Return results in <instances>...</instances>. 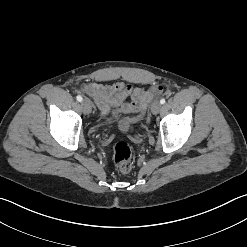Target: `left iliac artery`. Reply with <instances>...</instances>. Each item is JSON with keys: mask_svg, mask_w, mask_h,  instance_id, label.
I'll list each match as a JSON object with an SVG mask.
<instances>
[{"mask_svg": "<svg viewBox=\"0 0 247 247\" xmlns=\"http://www.w3.org/2000/svg\"><path fill=\"white\" fill-rule=\"evenodd\" d=\"M166 102V100L164 99V98H162L161 100H160V103L161 104H164Z\"/></svg>", "mask_w": 247, "mask_h": 247, "instance_id": "left-iliac-artery-1", "label": "left iliac artery"}]
</instances>
